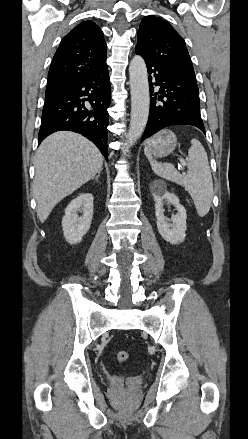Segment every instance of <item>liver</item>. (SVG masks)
Listing matches in <instances>:
<instances>
[{"instance_id": "obj_1", "label": "liver", "mask_w": 248, "mask_h": 439, "mask_svg": "<svg viewBox=\"0 0 248 439\" xmlns=\"http://www.w3.org/2000/svg\"><path fill=\"white\" fill-rule=\"evenodd\" d=\"M103 156L88 139L59 131L39 146L34 160L33 195L37 216L45 222L53 208L102 170Z\"/></svg>"}]
</instances>
